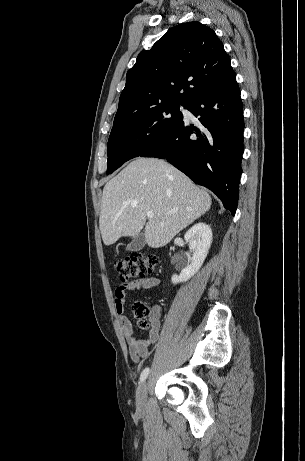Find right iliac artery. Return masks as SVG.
Here are the masks:
<instances>
[{
    "label": "right iliac artery",
    "mask_w": 305,
    "mask_h": 461,
    "mask_svg": "<svg viewBox=\"0 0 305 461\" xmlns=\"http://www.w3.org/2000/svg\"><path fill=\"white\" fill-rule=\"evenodd\" d=\"M148 374L149 368H145L140 375V381L143 382L148 377Z\"/></svg>",
    "instance_id": "82829eb1"
}]
</instances>
